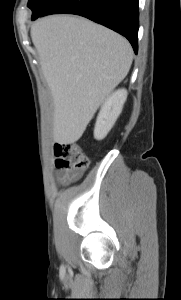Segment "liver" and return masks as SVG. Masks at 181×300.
<instances>
[{
  "instance_id": "6515ba94",
  "label": "liver",
  "mask_w": 181,
  "mask_h": 300,
  "mask_svg": "<svg viewBox=\"0 0 181 300\" xmlns=\"http://www.w3.org/2000/svg\"><path fill=\"white\" fill-rule=\"evenodd\" d=\"M31 38L53 97V139L74 143L128 74L132 47L102 25L67 15L37 21Z\"/></svg>"
}]
</instances>
